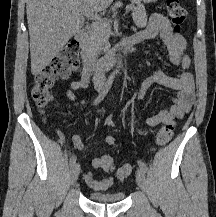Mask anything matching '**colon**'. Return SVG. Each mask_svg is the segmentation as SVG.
<instances>
[{"instance_id":"colon-1","label":"colon","mask_w":216,"mask_h":217,"mask_svg":"<svg viewBox=\"0 0 216 217\" xmlns=\"http://www.w3.org/2000/svg\"><path fill=\"white\" fill-rule=\"evenodd\" d=\"M168 14L175 31H179L184 24L187 16L185 7L180 0H166ZM80 44L76 40L70 41L61 53L54 58L49 65L35 75L32 88V98L41 108L46 107L52 99L51 88L59 79L68 78L79 65ZM115 125V120L109 116L105 120V126L111 128ZM174 123H166L161 127L156 136V143L159 146L166 145L174 133ZM103 170L106 172L114 171L113 160L104 161ZM132 173V166L125 164L116 171L118 179L123 180Z\"/></svg>"}]
</instances>
